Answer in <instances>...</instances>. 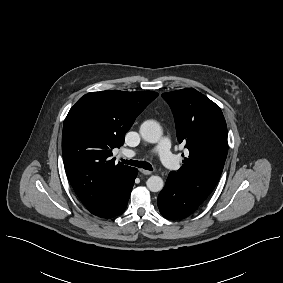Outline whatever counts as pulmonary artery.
<instances>
[{
    "instance_id": "pulmonary-artery-1",
    "label": "pulmonary artery",
    "mask_w": 283,
    "mask_h": 283,
    "mask_svg": "<svg viewBox=\"0 0 283 283\" xmlns=\"http://www.w3.org/2000/svg\"><path fill=\"white\" fill-rule=\"evenodd\" d=\"M154 152L158 154L165 167L173 169L178 164L177 157L170 150V141L168 138H163L159 145L155 147ZM136 155V152L131 150L123 152V156L127 158H133Z\"/></svg>"
}]
</instances>
